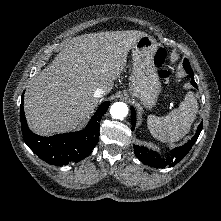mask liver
<instances>
[{
  "instance_id": "6515ba94",
  "label": "liver",
  "mask_w": 221,
  "mask_h": 221,
  "mask_svg": "<svg viewBox=\"0 0 221 221\" xmlns=\"http://www.w3.org/2000/svg\"><path fill=\"white\" fill-rule=\"evenodd\" d=\"M145 33L137 30L90 33L71 39L37 75L24 110L33 132L41 136L74 130L99 100L97 88L109 93L123 72L128 52Z\"/></svg>"
}]
</instances>
